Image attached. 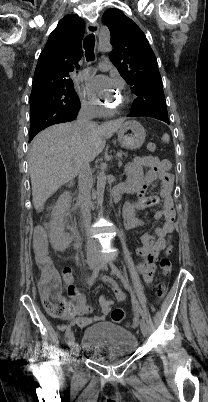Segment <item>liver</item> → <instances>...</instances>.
I'll return each instance as SVG.
<instances>
[{
	"label": "liver",
	"instance_id": "obj_1",
	"mask_svg": "<svg viewBox=\"0 0 208 402\" xmlns=\"http://www.w3.org/2000/svg\"><path fill=\"white\" fill-rule=\"evenodd\" d=\"M123 122L111 120L83 130L76 124H56L34 138L28 164L32 202L37 212H42L46 200L60 186L76 178L78 156L84 154L92 162L104 150L106 138H111Z\"/></svg>",
	"mask_w": 208,
	"mask_h": 402
}]
</instances>
